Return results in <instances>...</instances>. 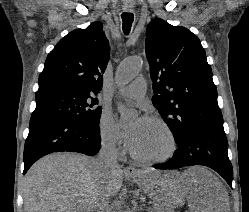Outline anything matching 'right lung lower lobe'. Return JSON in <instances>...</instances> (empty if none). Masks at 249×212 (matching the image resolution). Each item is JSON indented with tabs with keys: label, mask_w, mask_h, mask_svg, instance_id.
<instances>
[{
	"label": "right lung lower lobe",
	"mask_w": 249,
	"mask_h": 212,
	"mask_svg": "<svg viewBox=\"0 0 249 212\" xmlns=\"http://www.w3.org/2000/svg\"><path fill=\"white\" fill-rule=\"evenodd\" d=\"M100 141L99 125L58 118L32 122L25 142L23 174L49 153L67 151L94 155L100 148Z\"/></svg>",
	"instance_id": "98d812e1"
}]
</instances>
